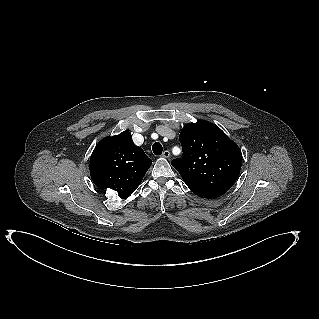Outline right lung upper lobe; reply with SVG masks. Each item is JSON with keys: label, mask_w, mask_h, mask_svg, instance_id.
I'll return each mask as SVG.
<instances>
[{"label": "right lung upper lobe", "mask_w": 319, "mask_h": 319, "mask_svg": "<svg viewBox=\"0 0 319 319\" xmlns=\"http://www.w3.org/2000/svg\"><path fill=\"white\" fill-rule=\"evenodd\" d=\"M152 160L136 146L129 132L103 139L95 147L90 159V175L94 184L104 190L117 191L128 198L140 185Z\"/></svg>", "instance_id": "cb5924a9"}]
</instances>
